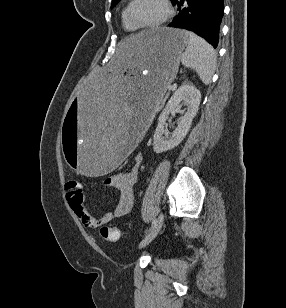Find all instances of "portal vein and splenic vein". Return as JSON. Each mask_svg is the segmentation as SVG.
Here are the masks:
<instances>
[{
    "label": "portal vein and splenic vein",
    "mask_w": 286,
    "mask_h": 308,
    "mask_svg": "<svg viewBox=\"0 0 286 308\" xmlns=\"http://www.w3.org/2000/svg\"><path fill=\"white\" fill-rule=\"evenodd\" d=\"M175 87H176V84H173L170 88L175 89Z\"/></svg>",
    "instance_id": "portal-vein-and-splenic-vein-1"
}]
</instances>
